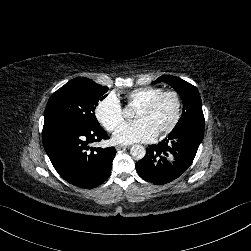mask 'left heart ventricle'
<instances>
[{
    "instance_id": "b2bd125f",
    "label": "left heart ventricle",
    "mask_w": 251,
    "mask_h": 251,
    "mask_svg": "<svg viewBox=\"0 0 251 251\" xmlns=\"http://www.w3.org/2000/svg\"><path fill=\"white\" fill-rule=\"evenodd\" d=\"M176 111L177 104L174 97L166 96L152 110L140 107L136 113L135 119H150L157 126L158 130H160L174 119Z\"/></svg>"
}]
</instances>
